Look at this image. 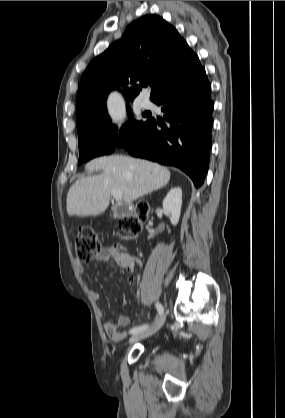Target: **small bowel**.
I'll return each mask as SVG.
<instances>
[{
    "label": "small bowel",
    "mask_w": 285,
    "mask_h": 418,
    "mask_svg": "<svg viewBox=\"0 0 285 418\" xmlns=\"http://www.w3.org/2000/svg\"><path fill=\"white\" fill-rule=\"evenodd\" d=\"M94 261L97 262H104V263H114L115 265L121 267L125 273L127 274V282L129 284H133L132 273L134 270V263L140 264L141 261L138 258H129L124 259L120 255V251L114 247H104L99 249L97 252ZM76 268L79 273H84L85 267L80 264L76 263ZM92 295L97 298L98 293L95 289L91 290ZM129 319L126 315L120 314L118 315L116 321H113L110 318H106L103 321V326L107 336L113 342H121L125 337L124 328L128 325Z\"/></svg>",
    "instance_id": "small-bowel-1"
}]
</instances>
